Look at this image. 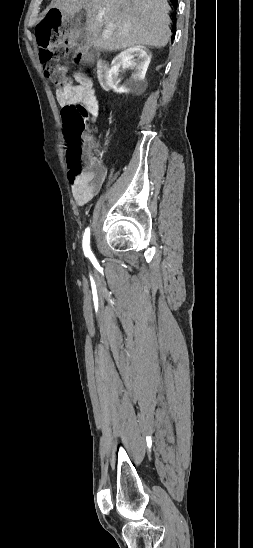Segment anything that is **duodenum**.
<instances>
[{
    "mask_svg": "<svg viewBox=\"0 0 253 548\" xmlns=\"http://www.w3.org/2000/svg\"><path fill=\"white\" fill-rule=\"evenodd\" d=\"M97 78L104 88L110 87L109 67L107 63L100 61L97 65Z\"/></svg>",
    "mask_w": 253,
    "mask_h": 548,
    "instance_id": "410a0bca",
    "label": "duodenum"
}]
</instances>
